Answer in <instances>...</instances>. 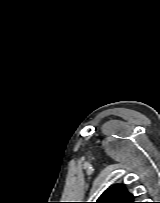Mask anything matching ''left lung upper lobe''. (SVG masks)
<instances>
[{
	"instance_id": "1",
	"label": "left lung upper lobe",
	"mask_w": 160,
	"mask_h": 203,
	"mask_svg": "<svg viewBox=\"0 0 160 203\" xmlns=\"http://www.w3.org/2000/svg\"><path fill=\"white\" fill-rule=\"evenodd\" d=\"M133 194L129 193L123 185H116L107 189L96 203H136Z\"/></svg>"
}]
</instances>
